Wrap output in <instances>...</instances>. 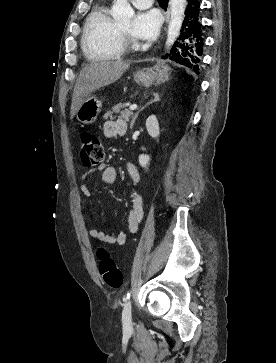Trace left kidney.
<instances>
[{"label": "left kidney", "instance_id": "1", "mask_svg": "<svg viewBox=\"0 0 276 363\" xmlns=\"http://www.w3.org/2000/svg\"><path fill=\"white\" fill-rule=\"evenodd\" d=\"M146 129L152 138H157L160 135L159 123L155 115H151L146 120ZM150 156L146 154L139 155V164L146 168L149 165Z\"/></svg>", "mask_w": 276, "mask_h": 363}]
</instances>
